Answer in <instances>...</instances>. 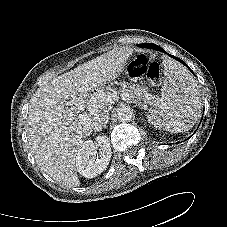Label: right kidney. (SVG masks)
I'll return each instance as SVG.
<instances>
[{
    "label": "right kidney",
    "mask_w": 227,
    "mask_h": 227,
    "mask_svg": "<svg viewBox=\"0 0 227 227\" xmlns=\"http://www.w3.org/2000/svg\"><path fill=\"white\" fill-rule=\"evenodd\" d=\"M99 147V156L96 149ZM112 152L106 136L96 137V141H85L76 156L77 171L86 178L96 177L108 166Z\"/></svg>",
    "instance_id": "right-kidney-1"
}]
</instances>
